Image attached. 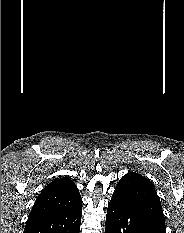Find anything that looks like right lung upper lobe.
Wrapping results in <instances>:
<instances>
[{"label": "right lung upper lobe", "mask_w": 184, "mask_h": 233, "mask_svg": "<svg viewBox=\"0 0 184 233\" xmlns=\"http://www.w3.org/2000/svg\"><path fill=\"white\" fill-rule=\"evenodd\" d=\"M81 205V196L74 182L66 177L56 179L37 197L27 223L74 212L81 209Z\"/></svg>", "instance_id": "1"}]
</instances>
